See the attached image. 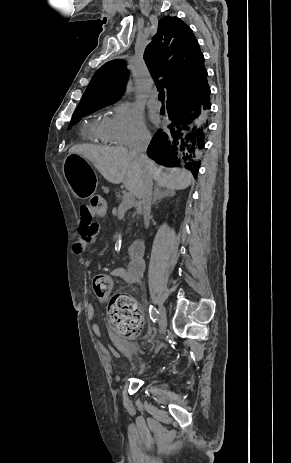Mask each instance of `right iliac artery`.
<instances>
[{
  "label": "right iliac artery",
  "instance_id": "82829eb1",
  "mask_svg": "<svg viewBox=\"0 0 291 463\" xmlns=\"http://www.w3.org/2000/svg\"><path fill=\"white\" fill-rule=\"evenodd\" d=\"M149 315H150V318L153 322H156L158 316H159V312L156 310V308H153V306L151 305L149 307Z\"/></svg>",
  "mask_w": 291,
  "mask_h": 463
}]
</instances>
